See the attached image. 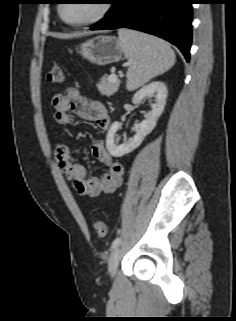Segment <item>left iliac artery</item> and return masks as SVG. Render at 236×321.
I'll use <instances>...</instances> for the list:
<instances>
[{
	"label": "left iliac artery",
	"mask_w": 236,
	"mask_h": 321,
	"mask_svg": "<svg viewBox=\"0 0 236 321\" xmlns=\"http://www.w3.org/2000/svg\"><path fill=\"white\" fill-rule=\"evenodd\" d=\"M119 242H120V238L117 237V238L112 242L111 248L114 249L115 247H117L118 244H119Z\"/></svg>",
	"instance_id": "1"
}]
</instances>
